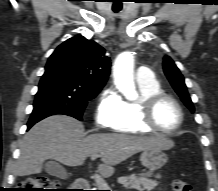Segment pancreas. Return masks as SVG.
Returning <instances> with one entry per match:
<instances>
[{"mask_svg":"<svg viewBox=\"0 0 218 191\" xmlns=\"http://www.w3.org/2000/svg\"><path fill=\"white\" fill-rule=\"evenodd\" d=\"M118 182L121 183L125 188L136 189L139 191H150L157 186V182L155 180L148 179L147 175L145 174L140 176L130 175L126 177H120Z\"/></svg>","mask_w":218,"mask_h":191,"instance_id":"1","label":"pancreas"}]
</instances>
